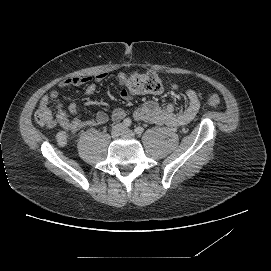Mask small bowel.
I'll return each instance as SVG.
<instances>
[{
	"instance_id": "1",
	"label": "small bowel",
	"mask_w": 271,
	"mask_h": 271,
	"mask_svg": "<svg viewBox=\"0 0 271 271\" xmlns=\"http://www.w3.org/2000/svg\"><path fill=\"white\" fill-rule=\"evenodd\" d=\"M126 74L120 73L118 75L119 81L122 83ZM107 77L106 74L100 73L94 77H70L64 79L59 83V89H65L71 86L85 85L84 94L86 96L92 95L96 90V82H102ZM174 90L178 89L176 84H172ZM59 96L58 90H51L40 101L38 113L44 115L47 120V126L53 127L56 121L53 119L49 110L51 103L56 101ZM121 96L129 100L132 95L126 90L122 89ZM187 105L182 110H177L173 104L160 106L156 102L149 101L143 104L133 113V118L136 121L148 122L156 125L181 127L189 124L197 115L201 108V100L199 95L193 90H187L185 93ZM126 116V112L121 108H115L112 111V118L119 120ZM108 120V115L105 112H98L96 116L89 120H81L78 116V109L76 104L69 105L68 109H64L61 104H57V122L64 131L57 135V142L59 145L65 144L68 138V133H76L87 127L101 125Z\"/></svg>"
}]
</instances>
